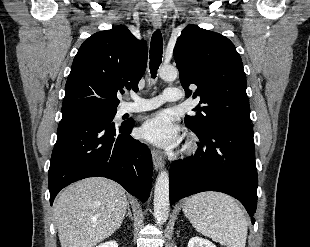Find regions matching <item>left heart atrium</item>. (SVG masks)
Listing matches in <instances>:
<instances>
[{
    "instance_id": "39dd6f15",
    "label": "left heart atrium",
    "mask_w": 310,
    "mask_h": 247,
    "mask_svg": "<svg viewBox=\"0 0 310 247\" xmlns=\"http://www.w3.org/2000/svg\"><path fill=\"white\" fill-rule=\"evenodd\" d=\"M141 137L163 149H172L179 143L180 130L169 111H160L142 125Z\"/></svg>"
}]
</instances>
